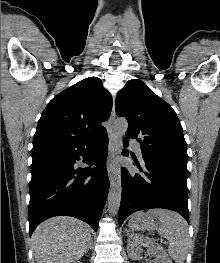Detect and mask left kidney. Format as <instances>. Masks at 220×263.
I'll return each mask as SVG.
<instances>
[{"label":"left kidney","instance_id":"obj_1","mask_svg":"<svg viewBox=\"0 0 220 263\" xmlns=\"http://www.w3.org/2000/svg\"><path fill=\"white\" fill-rule=\"evenodd\" d=\"M127 243V253L131 259H138L141 254V247L147 246L148 252L155 257L156 263H172L163 248L150 238L132 234Z\"/></svg>","mask_w":220,"mask_h":263}]
</instances>
